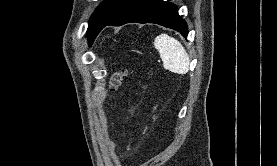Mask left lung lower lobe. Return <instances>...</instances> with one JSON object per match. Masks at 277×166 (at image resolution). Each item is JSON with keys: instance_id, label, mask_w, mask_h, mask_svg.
Here are the masks:
<instances>
[{"instance_id": "0a47b994", "label": "left lung lower lobe", "mask_w": 277, "mask_h": 166, "mask_svg": "<svg viewBox=\"0 0 277 166\" xmlns=\"http://www.w3.org/2000/svg\"><path fill=\"white\" fill-rule=\"evenodd\" d=\"M130 22L155 23L174 29L184 37L188 35L187 24L178 15L177 7L163 0H135L109 20L105 26H121Z\"/></svg>"}]
</instances>
